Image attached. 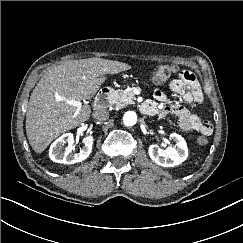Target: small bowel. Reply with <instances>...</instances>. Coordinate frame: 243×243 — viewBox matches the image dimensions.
Here are the masks:
<instances>
[{
	"label": "small bowel",
	"instance_id": "1",
	"mask_svg": "<svg viewBox=\"0 0 243 243\" xmlns=\"http://www.w3.org/2000/svg\"><path fill=\"white\" fill-rule=\"evenodd\" d=\"M169 89L183 98L185 104H171L159 106L157 103H163L167 100V94L164 90L157 88L153 91L154 101L148 100L142 105V110L149 115H157L163 118L167 115H175L179 119V126L185 131H197L204 136H210L213 132V126L210 122L200 118L187 105L202 101V92L199 84L193 74L183 72L179 78L173 79L169 83Z\"/></svg>",
	"mask_w": 243,
	"mask_h": 243
}]
</instances>
